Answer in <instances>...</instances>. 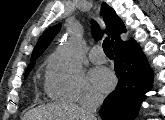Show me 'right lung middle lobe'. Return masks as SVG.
Wrapping results in <instances>:
<instances>
[{
	"instance_id": "1",
	"label": "right lung middle lobe",
	"mask_w": 165,
	"mask_h": 120,
	"mask_svg": "<svg viewBox=\"0 0 165 120\" xmlns=\"http://www.w3.org/2000/svg\"><path fill=\"white\" fill-rule=\"evenodd\" d=\"M35 63H33L32 65L28 66L27 70H26V74L25 76H27L29 74V72L32 70L33 66Z\"/></svg>"
}]
</instances>
